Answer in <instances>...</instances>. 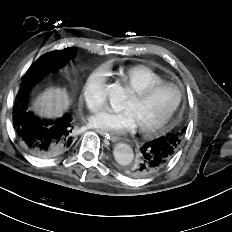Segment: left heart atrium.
Instances as JSON below:
<instances>
[{
    "mask_svg": "<svg viewBox=\"0 0 232 232\" xmlns=\"http://www.w3.org/2000/svg\"><path fill=\"white\" fill-rule=\"evenodd\" d=\"M88 124L114 136H122L137 127L134 116L126 110L119 112L108 109L98 111L89 117Z\"/></svg>",
    "mask_w": 232,
    "mask_h": 232,
    "instance_id": "obj_1",
    "label": "left heart atrium"
}]
</instances>
